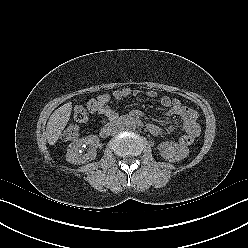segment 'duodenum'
Instances as JSON below:
<instances>
[{
	"label": "duodenum",
	"mask_w": 248,
	"mask_h": 248,
	"mask_svg": "<svg viewBox=\"0 0 248 248\" xmlns=\"http://www.w3.org/2000/svg\"><path fill=\"white\" fill-rule=\"evenodd\" d=\"M128 123H136L138 125H142V121L138 118H136L135 116H131V115H125V116H118L113 118L109 123H107L106 125H104L101 129V136L106 138L108 137L111 132L121 126V125H125Z\"/></svg>",
	"instance_id": "duodenum-1"
}]
</instances>
